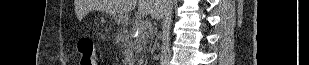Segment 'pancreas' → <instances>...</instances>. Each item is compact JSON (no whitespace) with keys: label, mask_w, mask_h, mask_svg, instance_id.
Here are the masks:
<instances>
[{"label":"pancreas","mask_w":309,"mask_h":65,"mask_svg":"<svg viewBox=\"0 0 309 65\" xmlns=\"http://www.w3.org/2000/svg\"><path fill=\"white\" fill-rule=\"evenodd\" d=\"M141 21H142L141 19H136L132 22L129 30V37H132L135 34L136 29L140 27ZM147 34H148L147 28L141 29L139 31V36L136 39H134L135 51L137 52H141L143 50L145 51L146 45L148 43Z\"/></svg>","instance_id":"1"}]
</instances>
